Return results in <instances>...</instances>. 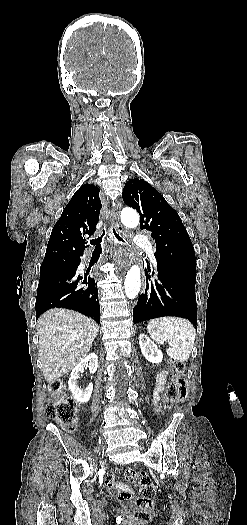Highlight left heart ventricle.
Returning <instances> with one entry per match:
<instances>
[{"label": "left heart ventricle", "mask_w": 247, "mask_h": 525, "mask_svg": "<svg viewBox=\"0 0 247 525\" xmlns=\"http://www.w3.org/2000/svg\"><path fill=\"white\" fill-rule=\"evenodd\" d=\"M139 264H130V268H136ZM120 324H125V323H120Z\"/></svg>", "instance_id": "1"}]
</instances>
